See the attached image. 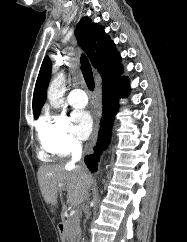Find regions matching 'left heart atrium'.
<instances>
[{
  "label": "left heart atrium",
  "instance_id": "obj_1",
  "mask_svg": "<svg viewBox=\"0 0 187 242\" xmlns=\"http://www.w3.org/2000/svg\"><path fill=\"white\" fill-rule=\"evenodd\" d=\"M75 134L80 139H86L92 132L94 121L91 113L86 110H78L72 114Z\"/></svg>",
  "mask_w": 187,
  "mask_h": 242
}]
</instances>
